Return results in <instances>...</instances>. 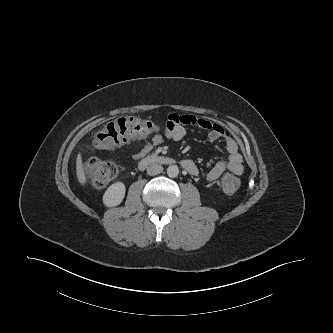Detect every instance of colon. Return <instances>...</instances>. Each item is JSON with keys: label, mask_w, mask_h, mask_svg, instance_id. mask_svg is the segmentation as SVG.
<instances>
[{"label": "colon", "mask_w": 333, "mask_h": 333, "mask_svg": "<svg viewBox=\"0 0 333 333\" xmlns=\"http://www.w3.org/2000/svg\"><path fill=\"white\" fill-rule=\"evenodd\" d=\"M159 130L160 126L150 120L140 117H123L101 128L93 138V145L100 150L110 149L134 139L146 138ZM85 170L97 186L106 185L118 173L116 164L97 158L87 161ZM221 184L226 193H234L239 187V180L232 174H226Z\"/></svg>", "instance_id": "obj_1"}]
</instances>
